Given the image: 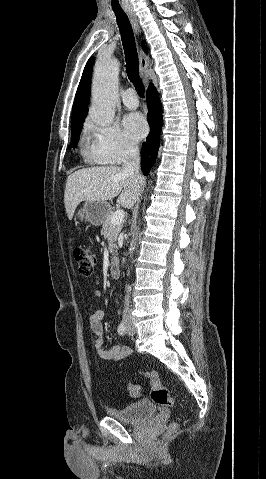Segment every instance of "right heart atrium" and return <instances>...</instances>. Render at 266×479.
<instances>
[{"instance_id":"obj_1","label":"right heart atrium","mask_w":266,"mask_h":479,"mask_svg":"<svg viewBox=\"0 0 266 479\" xmlns=\"http://www.w3.org/2000/svg\"><path fill=\"white\" fill-rule=\"evenodd\" d=\"M85 129L90 139V159L95 162L121 164L137 152L136 144L116 124L104 125L90 120Z\"/></svg>"}]
</instances>
